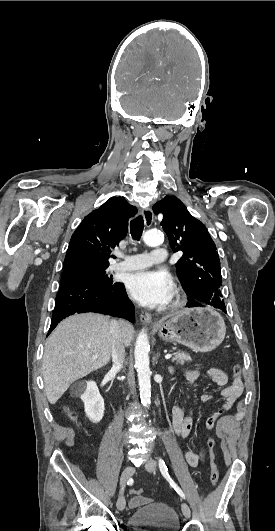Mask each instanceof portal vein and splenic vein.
<instances>
[{
	"label": "portal vein and splenic vein",
	"mask_w": 275,
	"mask_h": 531,
	"mask_svg": "<svg viewBox=\"0 0 275 531\" xmlns=\"http://www.w3.org/2000/svg\"><path fill=\"white\" fill-rule=\"evenodd\" d=\"M172 355H165V359H171ZM92 359H98L97 355H94Z\"/></svg>",
	"instance_id": "1"
}]
</instances>
